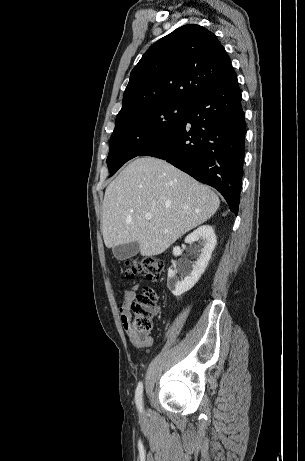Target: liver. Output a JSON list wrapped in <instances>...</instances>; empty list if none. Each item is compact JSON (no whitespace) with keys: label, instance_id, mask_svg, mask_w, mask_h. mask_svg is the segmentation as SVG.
I'll return each instance as SVG.
<instances>
[{"label":"liver","instance_id":"obj_1","mask_svg":"<svg viewBox=\"0 0 305 461\" xmlns=\"http://www.w3.org/2000/svg\"><path fill=\"white\" fill-rule=\"evenodd\" d=\"M220 200L171 164L136 158L105 191L102 234L107 248L137 241L142 256L163 253L186 232L210 219ZM146 213L152 219L145 218Z\"/></svg>","mask_w":305,"mask_h":461}]
</instances>
